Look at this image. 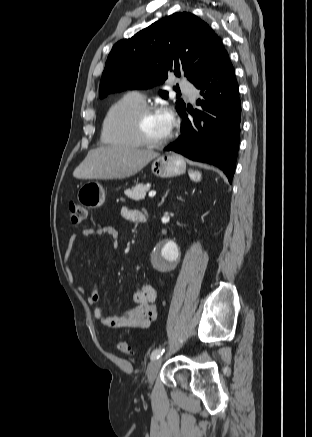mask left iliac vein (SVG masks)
Here are the masks:
<instances>
[{
    "label": "left iliac vein",
    "instance_id": "1",
    "mask_svg": "<svg viewBox=\"0 0 312 437\" xmlns=\"http://www.w3.org/2000/svg\"><path fill=\"white\" fill-rule=\"evenodd\" d=\"M161 363H162L161 359L153 360L150 363V365L148 367V371H147V378H148V382H149L150 385L156 379V376H157V374H158V372L160 370V367H161Z\"/></svg>",
    "mask_w": 312,
    "mask_h": 437
}]
</instances>
